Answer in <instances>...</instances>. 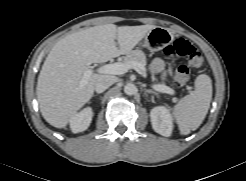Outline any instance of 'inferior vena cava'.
<instances>
[{
  "instance_id": "602c4592",
  "label": "inferior vena cava",
  "mask_w": 246,
  "mask_h": 181,
  "mask_svg": "<svg viewBox=\"0 0 246 181\" xmlns=\"http://www.w3.org/2000/svg\"><path fill=\"white\" fill-rule=\"evenodd\" d=\"M116 82V78L110 75H101L95 83V91L102 93Z\"/></svg>"
}]
</instances>
